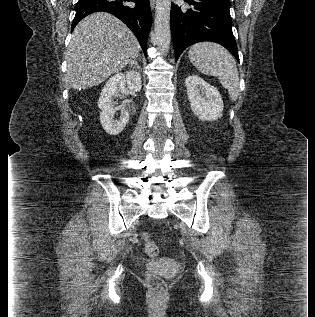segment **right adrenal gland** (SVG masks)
I'll return each instance as SVG.
<instances>
[{
	"mask_svg": "<svg viewBox=\"0 0 315 317\" xmlns=\"http://www.w3.org/2000/svg\"><path fill=\"white\" fill-rule=\"evenodd\" d=\"M133 68H138L140 70V66L137 62V55L133 56L128 62Z\"/></svg>",
	"mask_w": 315,
	"mask_h": 317,
	"instance_id": "2a0ac1e0",
	"label": "right adrenal gland"
}]
</instances>
